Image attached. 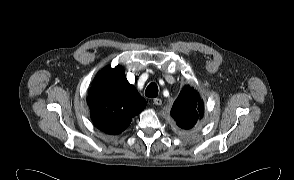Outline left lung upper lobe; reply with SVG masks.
Returning a JSON list of instances; mask_svg holds the SVG:
<instances>
[{"instance_id": "left-lung-upper-lobe-1", "label": "left lung upper lobe", "mask_w": 294, "mask_h": 180, "mask_svg": "<svg viewBox=\"0 0 294 180\" xmlns=\"http://www.w3.org/2000/svg\"><path fill=\"white\" fill-rule=\"evenodd\" d=\"M203 101L194 88L185 86L171 109V116L184 130L195 128L203 116Z\"/></svg>"}]
</instances>
